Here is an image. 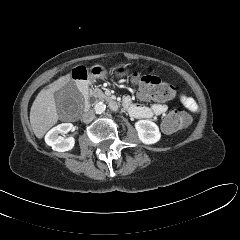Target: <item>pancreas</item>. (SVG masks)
<instances>
[{
	"label": "pancreas",
	"mask_w": 240,
	"mask_h": 240,
	"mask_svg": "<svg viewBox=\"0 0 240 240\" xmlns=\"http://www.w3.org/2000/svg\"><path fill=\"white\" fill-rule=\"evenodd\" d=\"M89 95L99 99H107V96L99 88L90 90Z\"/></svg>",
	"instance_id": "pancreas-1"
}]
</instances>
